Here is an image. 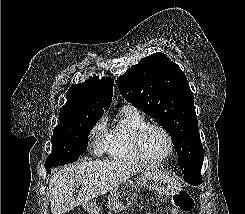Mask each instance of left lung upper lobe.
Wrapping results in <instances>:
<instances>
[{
    "label": "left lung upper lobe",
    "instance_id": "1",
    "mask_svg": "<svg viewBox=\"0 0 245 214\" xmlns=\"http://www.w3.org/2000/svg\"><path fill=\"white\" fill-rule=\"evenodd\" d=\"M116 84L126 101L170 134L182 169L202 166L204 151L193 93L176 63L164 53H153L119 76Z\"/></svg>",
    "mask_w": 245,
    "mask_h": 214
}]
</instances>
